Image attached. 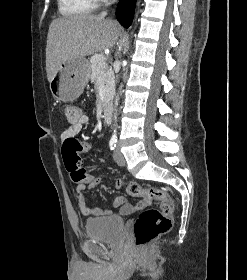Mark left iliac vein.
Here are the masks:
<instances>
[{
	"label": "left iliac vein",
	"mask_w": 247,
	"mask_h": 280,
	"mask_svg": "<svg viewBox=\"0 0 247 280\" xmlns=\"http://www.w3.org/2000/svg\"><path fill=\"white\" fill-rule=\"evenodd\" d=\"M113 157H114L115 162L118 165H120V166L125 165L126 161H125L123 154L120 152L119 145H117V147L115 148V150L113 152Z\"/></svg>",
	"instance_id": "4c4485c4"
}]
</instances>
